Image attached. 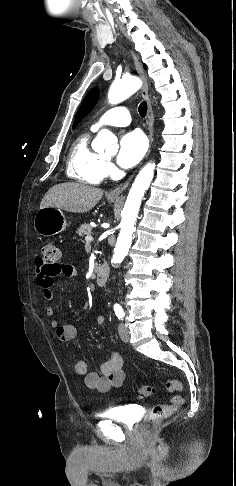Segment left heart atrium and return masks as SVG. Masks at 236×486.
I'll return each mask as SVG.
<instances>
[{"instance_id": "1", "label": "left heart atrium", "mask_w": 236, "mask_h": 486, "mask_svg": "<svg viewBox=\"0 0 236 486\" xmlns=\"http://www.w3.org/2000/svg\"><path fill=\"white\" fill-rule=\"evenodd\" d=\"M147 149L145 137L139 131H132L123 135L119 142L117 163L122 168H131L144 156Z\"/></svg>"}]
</instances>
